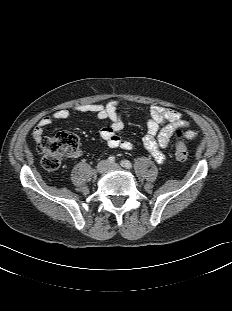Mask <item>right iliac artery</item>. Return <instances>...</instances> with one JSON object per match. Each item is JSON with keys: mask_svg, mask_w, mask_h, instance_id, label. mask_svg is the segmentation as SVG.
Here are the masks:
<instances>
[{"mask_svg": "<svg viewBox=\"0 0 232 311\" xmlns=\"http://www.w3.org/2000/svg\"><path fill=\"white\" fill-rule=\"evenodd\" d=\"M108 161H109L110 163H114V161H115V157L110 156V157L108 158Z\"/></svg>", "mask_w": 232, "mask_h": 311, "instance_id": "82829eb1", "label": "right iliac artery"}]
</instances>
